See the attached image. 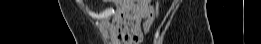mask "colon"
<instances>
[{"label": "colon", "mask_w": 261, "mask_h": 44, "mask_svg": "<svg viewBox=\"0 0 261 44\" xmlns=\"http://www.w3.org/2000/svg\"><path fill=\"white\" fill-rule=\"evenodd\" d=\"M142 2L146 3L148 6V12H147L143 27H144V32L149 33L151 26L155 19V10H154L153 6L149 7V4L151 3L150 0H142ZM113 5L114 6H136L137 2L136 1H113Z\"/></svg>", "instance_id": "1"}]
</instances>
